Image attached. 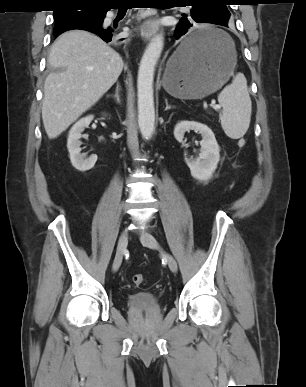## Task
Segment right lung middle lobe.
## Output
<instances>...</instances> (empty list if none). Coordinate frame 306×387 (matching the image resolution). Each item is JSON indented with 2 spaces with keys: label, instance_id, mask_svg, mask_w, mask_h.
I'll list each match as a JSON object with an SVG mask.
<instances>
[{
  "label": "right lung middle lobe",
  "instance_id": "right-lung-middle-lobe-1",
  "mask_svg": "<svg viewBox=\"0 0 306 387\" xmlns=\"http://www.w3.org/2000/svg\"><path fill=\"white\" fill-rule=\"evenodd\" d=\"M105 13L106 11L98 7H86L81 11L71 8H60L54 11V33L63 31L74 25H93L94 22H103Z\"/></svg>",
  "mask_w": 306,
  "mask_h": 387
}]
</instances>
